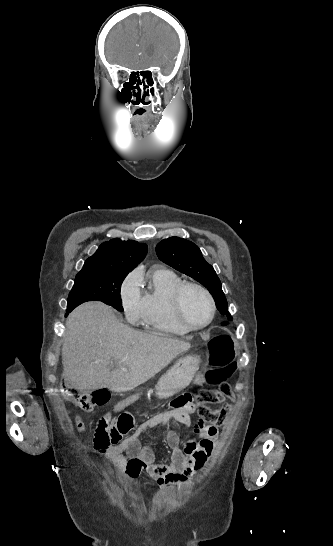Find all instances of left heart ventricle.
Instances as JSON below:
<instances>
[{"label": "left heart ventricle", "mask_w": 333, "mask_h": 546, "mask_svg": "<svg viewBox=\"0 0 333 546\" xmlns=\"http://www.w3.org/2000/svg\"><path fill=\"white\" fill-rule=\"evenodd\" d=\"M183 310L187 320L200 325L210 316V306L206 296L196 288H189L183 296Z\"/></svg>", "instance_id": "b2bd125f"}]
</instances>
